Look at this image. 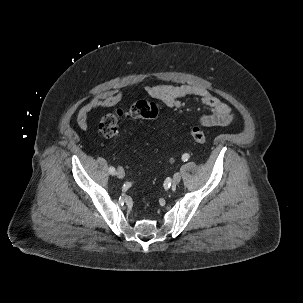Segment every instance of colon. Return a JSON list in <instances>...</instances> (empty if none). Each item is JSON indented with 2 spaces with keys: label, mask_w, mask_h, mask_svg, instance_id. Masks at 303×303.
<instances>
[{
  "label": "colon",
  "mask_w": 303,
  "mask_h": 303,
  "mask_svg": "<svg viewBox=\"0 0 303 303\" xmlns=\"http://www.w3.org/2000/svg\"><path fill=\"white\" fill-rule=\"evenodd\" d=\"M158 107L149 101L138 100L129 109H117L104 115L98 125L99 132L106 138L118 139L122 136L119 129V121L123 117H133L146 120H154L158 117ZM190 135L198 144H205L207 141L206 134L201 127L191 128Z\"/></svg>",
  "instance_id": "1"
}]
</instances>
